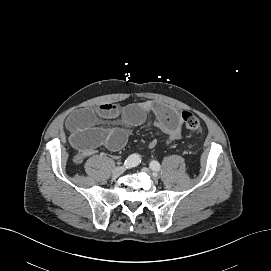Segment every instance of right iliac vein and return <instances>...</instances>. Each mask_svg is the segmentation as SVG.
I'll return each mask as SVG.
<instances>
[{
    "label": "right iliac vein",
    "instance_id": "1",
    "mask_svg": "<svg viewBox=\"0 0 271 271\" xmlns=\"http://www.w3.org/2000/svg\"><path fill=\"white\" fill-rule=\"evenodd\" d=\"M125 168L122 167V166H119V167H116L114 170H113V173H112V177L114 179L118 178L119 176H121L124 172H125Z\"/></svg>",
    "mask_w": 271,
    "mask_h": 271
}]
</instances>
